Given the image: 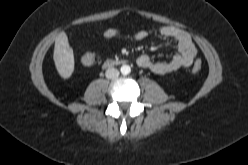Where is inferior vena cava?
<instances>
[{
	"instance_id": "obj_1",
	"label": "inferior vena cava",
	"mask_w": 248,
	"mask_h": 165,
	"mask_svg": "<svg viewBox=\"0 0 248 165\" xmlns=\"http://www.w3.org/2000/svg\"><path fill=\"white\" fill-rule=\"evenodd\" d=\"M119 70L116 68H108L105 72L106 78L115 79L119 76Z\"/></svg>"
}]
</instances>
